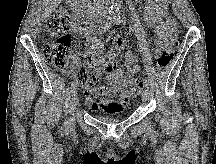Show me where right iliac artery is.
<instances>
[{
	"instance_id": "1",
	"label": "right iliac artery",
	"mask_w": 216,
	"mask_h": 164,
	"mask_svg": "<svg viewBox=\"0 0 216 164\" xmlns=\"http://www.w3.org/2000/svg\"><path fill=\"white\" fill-rule=\"evenodd\" d=\"M114 18H108L100 27H99V32H105L107 28H109L111 26V24L114 22ZM77 87V83L76 82H72L71 87H70V92H73L74 90H76ZM68 124L69 121H65L64 122V130L67 131L68 129Z\"/></svg>"
}]
</instances>
